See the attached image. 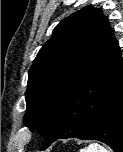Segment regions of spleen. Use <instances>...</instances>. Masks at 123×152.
<instances>
[{
	"label": "spleen",
	"instance_id": "1",
	"mask_svg": "<svg viewBox=\"0 0 123 152\" xmlns=\"http://www.w3.org/2000/svg\"><path fill=\"white\" fill-rule=\"evenodd\" d=\"M80 152H110V150H107L105 147L97 143H92L81 149Z\"/></svg>",
	"mask_w": 123,
	"mask_h": 152
}]
</instances>
